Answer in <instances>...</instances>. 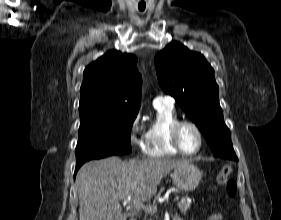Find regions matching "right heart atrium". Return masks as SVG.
Listing matches in <instances>:
<instances>
[{
	"label": "right heart atrium",
	"instance_id": "d8ad5b80",
	"mask_svg": "<svg viewBox=\"0 0 281 220\" xmlns=\"http://www.w3.org/2000/svg\"><path fill=\"white\" fill-rule=\"evenodd\" d=\"M144 129L141 123L140 114H137L132 120L130 126V142L138 147L143 146Z\"/></svg>",
	"mask_w": 281,
	"mask_h": 220
}]
</instances>
